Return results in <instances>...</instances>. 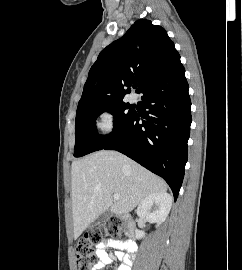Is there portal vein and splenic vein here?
<instances>
[{"mask_svg":"<svg viewBox=\"0 0 242 270\" xmlns=\"http://www.w3.org/2000/svg\"><path fill=\"white\" fill-rule=\"evenodd\" d=\"M113 199L114 200H119L120 199V195L119 194H114L113 195Z\"/></svg>","mask_w":242,"mask_h":270,"instance_id":"18ae733b","label":"portal vein and splenic vein"}]
</instances>
